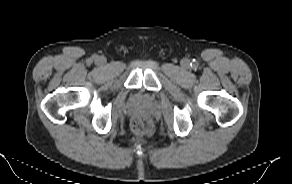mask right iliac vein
<instances>
[{"label":"right iliac vein","mask_w":292,"mask_h":184,"mask_svg":"<svg viewBox=\"0 0 292 184\" xmlns=\"http://www.w3.org/2000/svg\"><path fill=\"white\" fill-rule=\"evenodd\" d=\"M99 62H100V63H102V62H103V60H102V59H99Z\"/></svg>","instance_id":"obj_1"}]
</instances>
